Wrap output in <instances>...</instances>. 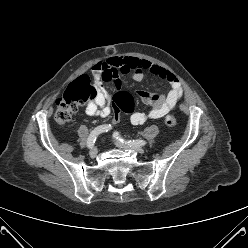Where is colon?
<instances>
[{
	"mask_svg": "<svg viewBox=\"0 0 248 248\" xmlns=\"http://www.w3.org/2000/svg\"><path fill=\"white\" fill-rule=\"evenodd\" d=\"M97 97V90L91 84L88 75L83 74L72 81L65 90L62 97L56 101L55 120L58 123H66L72 119L78 110L79 105L86 102H91ZM124 111L126 116H133L135 114V107L133 106L132 98L125 93H120L116 96L114 102V114L112 125L119 127L121 125L122 114ZM167 126L175 125V118L172 115H167L164 119ZM100 144L108 143L107 135L99 136Z\"/></svg>",
	"mask_w": 248,
	"mask_h": 248,
	"instance_id": "obj_1",
	"label": "colon"
}]
</instances>
